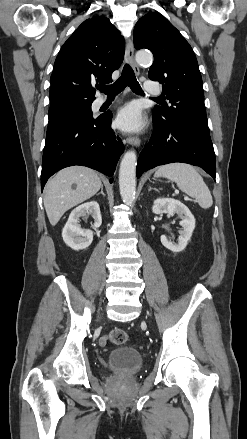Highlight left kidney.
Segmentation results:
<instances>
[{"mask_svg": "<svg viewBox=\"0 0 247 439\" xmlns=\"http://www.w3.org/2000/svg\"><path fill=\"white\" fill-rule=\"evenodd\" d=\"M152 211L155 214L166 213L173 215L176 213L181 218L180 226L182 229L179 231L180 236L178 243L174 244L168 241L165 235H162L160 239L162 245L172 252L177 253L183 251L191 239L195 228V218L187 206L173 198H158L153 203Z\"/></svg>", "mask_w": 247, "mask_h": 439, "instance_id": "left-kidney-1", "label": "left kidney"}]
</instances>
